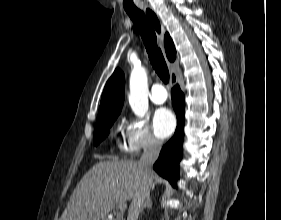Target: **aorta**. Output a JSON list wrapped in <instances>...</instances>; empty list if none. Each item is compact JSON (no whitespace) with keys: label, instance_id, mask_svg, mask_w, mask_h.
Returning <instances> with one entry per match:
<instances>
[{"label":"aorta","instance_id":"aorta-1","mask_svg":"<svg viewBox=\"0 0 281 220\" xmlns=\"http://www.w3.org/2000/svg\"><path fill=\"white\" fill-rule=\"evenodd\" d=\"M132 111L143 117L148 111V83L145 68L135 66L130 75V93L128 95Z\"/></svg>","mask_w":281,"mask_h":220}]
</instances>
